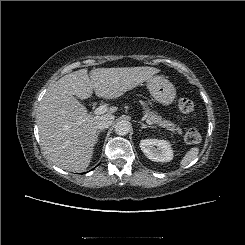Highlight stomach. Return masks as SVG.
I'll return each mask as SVG.
<instances>
[{"label":"stomach","mask_w":245,"mask_h":245,"mask_svg":"<svg viewBox=\"0 0 245 245\" xmlns=\"http://www.w3.org/2000/svg\"><path fill=\"white\" fill-rule=\"evenodd\" d=\"M147 87L154 99L164 106L171 105L176 98L174 85L164 77L154 76L150 78L147 81Z\"/></svg>","instance_id":"obj_1"}]
</instances>
